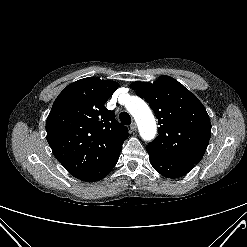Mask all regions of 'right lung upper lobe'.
Instances as JSON below:
<instances>
[{
	"instance_id": "obj_1",
	"label": "right lung upper lobe",
	"mask_w": 247,
	"mask_h": 247,
	"mask_svg": "<svg viewBox=\"0 0 247 247\" xmlns=\"http://www.w3.org/2000/svg\"><path fill=\"white\" fill-rule=\"evenodd\" d=\"M118 85L84 78L68 85L53 103L47 141L57 160L80 180L116 158L128 138L127 128L104 106Z\"/></svg>"
}]
</instances>
